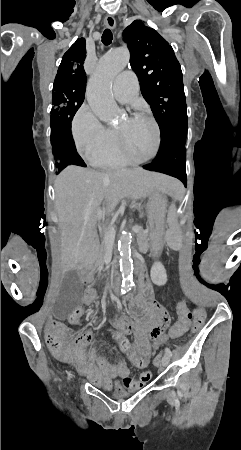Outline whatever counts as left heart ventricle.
<instances>
[{
	"mask_svg": "<svg viewBox=\"0 0 241 450\" xmlns=\"http://www.w3.org/2000/svg\"><path fill=\"white\" fill-rule=\"evenodd\" d=\"M154 118L148 113H139L132 116V121H124L123 139L128 149L129 156L134 160H151L153 157L152 148L154 147L155 131L153 127ZM120 128V123L118 125ZM133 168L138 166L136 161L131 163Z\"/></svg>",
	"mask_w": 241,
	"mask_h": 450,
	"instance_id": "b2bd125f",
	"label": "left heart ventricle"
}]
</instances>
